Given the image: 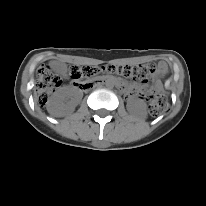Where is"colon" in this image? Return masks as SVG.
Segmentation results:
<instances>
[{
  "label": "colon",
  "instance_id": "obj_1",
  "mask_svg": "<svg viewBox=\"0 0 206 206\" xmlns=\"http://www.w3.org/2000/svg\"><path fill=\"white\" fill-rule=\"evenodd\" d=\"M100 72L116 73L127 78H133L137 80H147L152 69L147 66H115L106 65L103 67L98 66H74L70 69V77L73 80L88 79ZM61 85V79L54 75L51 68L47 65H41L37 71V93L38 103L45 105L50 94L55 91ZM149 109L151 114L157 115L164 112L168 108L167 100L160 95H150Z\"/></svg>",
  "mask_w": 206,
  "mask_h": 206
}]
</instances>
